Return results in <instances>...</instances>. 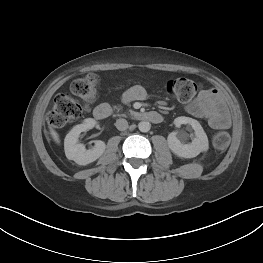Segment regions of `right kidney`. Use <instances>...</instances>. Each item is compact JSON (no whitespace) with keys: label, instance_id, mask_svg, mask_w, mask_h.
<instances>
[{"label":"right kidney","instance_id":"ca27d5eb","mask_svg":"<svg viewBox=\"0 0 263 263\" xmlns=\"http://www.w3.org/2000/svg\"><path fill=\"white\" fill-rule=\"evenodd\" d=\"M97 122L88 118L82 124L74 126L66 135L64 140L65 155L69 160H74L79 165H87L96 161L105 151L106 145L103 141H96L93 149L86 150L83 144L77 143L81 132L92 129Z\"/></svg>","mask_w":263,"mask_h":263}]
</instances>
